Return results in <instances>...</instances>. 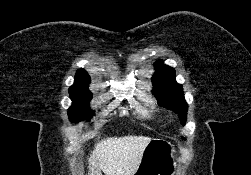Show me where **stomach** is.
Here are the masks:
<instances>
[{"label": "stomach", "instance_id": "obj_1", "mask_svg": "<svg viewBox=\"0 0 251 175\" xmlns=\"http://www.w3.org/2000/svg\"><path fill=\"white\" fill-rule=\"evenodd\" d=\"M176 147L167 139L153 137L144 147L142 159L134 175H175Z\"/></svg>", "mask_w": 251, "mask_h": 175}]
</instances>
